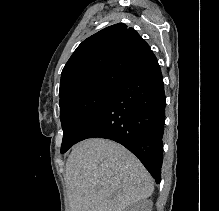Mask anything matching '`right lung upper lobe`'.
<instances>
[{
  "instance_id": "right-lung-upper-lobe-1",
  "label": "right lung upper lobe",
  "mask_w": 219,
  "mask_h": 211,
  "mask_svg": "<svg viewBox=\"0 0 219 211\" xmlns=\"http://www.w3.org/2000/svg\"><path fill=\"white\" fill-rule=\"evenodd\" d=\"M156 60L149 45L125 24L106 27L84 40L61 74L60 101L97 84L117 85Z\"/></svg>"
}]
</instances>
